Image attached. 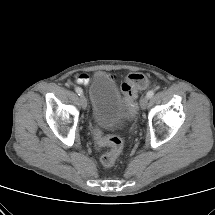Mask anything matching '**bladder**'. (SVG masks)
<instances>
[{"instance_id":"1","label":"bladder","mask_w":215,"mask_h":215,"mask_svg":"<svg viewBox=\"0 0 215 215\" xmlns=\"http://www.w3.org/2000/svg\"><path fill=\"white\" fill-rule=\"evenodd\" d=\"M91 113L94 122L105 129L122 126L126 106L114 79L106 72H97L89 86Z\"/></svg>"}]
</instances>
